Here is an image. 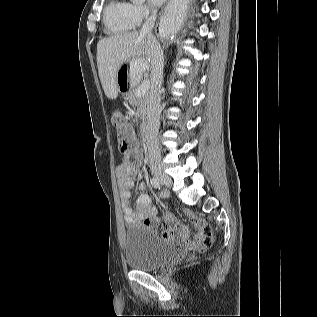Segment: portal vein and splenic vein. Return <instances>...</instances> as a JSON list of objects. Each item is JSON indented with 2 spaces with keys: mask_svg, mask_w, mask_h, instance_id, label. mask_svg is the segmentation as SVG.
<instances>
[{
  "mask_svg": "<svg viewBox=\"0 0 317 317\" xmlns=\"http://www.w3.org/2000/svg\"><path fill=\"white\" fill-rule=\"evenodd\" d=\"M140 66L144 67V66H146V64L140 63ZM149 86H150V82L148 80L142 82V84L136 90V95H138V96L144 95L148 91Z\"/></svg>",
  "mask_w": 317,
  "mask_h": 317,
  "instance_id": "portal-vein-and-splenic-vein-1",
  "label": "portal vein and splenic vein"
}]
</instances>
